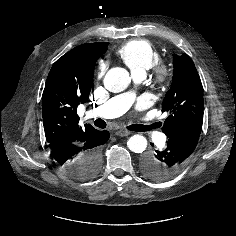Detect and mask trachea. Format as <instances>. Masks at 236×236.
<instances>
[{"label":"trachea","instance_id":"trachea-1","mask_svg":"<svg viewBox=\"0 0 236 236\" xmlns=\"http://www.w3.org/2000/svg\"><path fill=\"white\" fill-rule=\"evenodd\" d=\"M94 125L98 128L103 129L106 127V122L102 119H97L94 121ZM128 130L136 131V132H144L147 129L143 125H130V126H128Z\"/></svg>","mask_w":236,"mask_h":236}]
</instances>
